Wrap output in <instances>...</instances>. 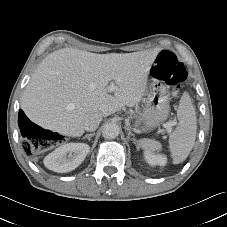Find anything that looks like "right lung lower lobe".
I'll list each match as a JSON object with an SVG mask.
<instances>
[{
  "instance_id": "obj_1",
  "label": "right lung lower lobe",
  "mask_w": 227,
  "mask_h": 227,
  "mask_svg": "<svg viewBox=\"0 0 227 227\" xmlns=\"http://www.w3.org/2000/svg\"><path fill=\"white\" fill-rule=\"evenodd\" d=\"M18 124L21 130V133L24 132V129L26 128L27 125L33 124L24 114L22 110L19 111L18 115Z\"/></svg>"
}]
</instances>
